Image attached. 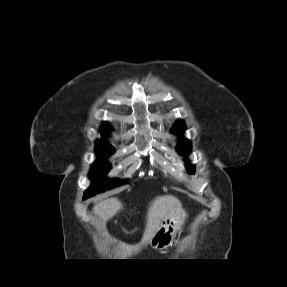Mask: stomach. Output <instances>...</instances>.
Returning a JSON list of instances; mask_svg holds the SVG:
<instances>
[{"mask_svg": "<svg viewBox=\"0 0 287 287\" xmlns=\"http://www.w3.org/2000/svg\"><path fill=\"white\" fill-rule=\"evenodd\" d=\"M186 213L184 210L170 211L161 221L160 227L150 241V246L163 251L173 244L176 233L185 223Z\"/></svg>", "mask_w": 287, "mask_h": 287, "instance_id": "1", "label": "stomach"}]
</instances>
